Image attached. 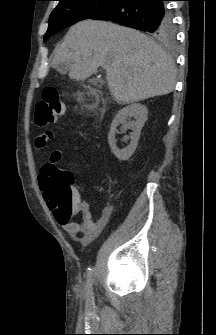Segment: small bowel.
<instances>
[{
  "mask_svg": "<svg viewBox=\"0 0 216 335\" xmlns=\"http://www.w3.org/2000/svg\"><path fill=\"white\" fill-rule=\"evenodd\" d=\"M76 136L83 142H87L86 137L81 132H76ZM52 139V134L40 135L35 139V146L42 149ZM61 159L59 151L53 152L48 162L42 167L39 174V187L42 191L44 199L47 201L50 210L63 230L73 235H81L80 240L83 244L88 245L103 229L106 224V218L101 216L94 220L89 210V205L84 199L83 195L77 190L73 189L72 194L74 198V206L71 214L67 219L63 218L64 208L58 205L50 195L49 182L53 178V170L57 168V164ZM45 167L48 171H45ZM75 215H80L82 222L78 223L72 218Z\"/></svg>",
  "mask_w": 216,
  "mask_h": 335,
  "instance_id": "1",
  "label": "small bowel"
}]
</instances>
